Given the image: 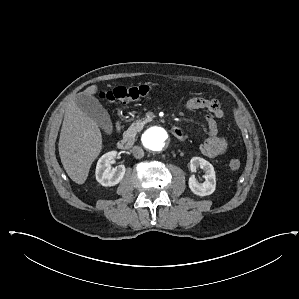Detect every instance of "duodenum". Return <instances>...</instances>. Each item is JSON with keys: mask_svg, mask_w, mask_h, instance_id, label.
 <instances>
[{"mask_svg": "<svg viewBox=\"0 0 299 299\" xmlns=\"http://www.w3.org/2000/svg\"><path fill=\"white\" fill-rule=\"evenodd\" d=\"M117 127L119 128V124L117 125ZM171 133L178 139H183L184 138V132L181 128L177 127V126H171L170 128ZM134 144V139L131 137H124L121 140H119L117 146L119 149L121 150H127L129 148H131Z\"/></svg>", "mask_w": 299, "mask_h": 299, "instance_id": "410a0bca", "label": "duodenum"}]
</instances>
